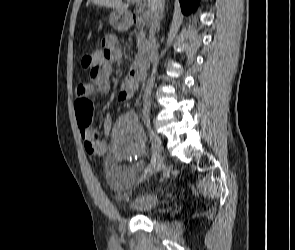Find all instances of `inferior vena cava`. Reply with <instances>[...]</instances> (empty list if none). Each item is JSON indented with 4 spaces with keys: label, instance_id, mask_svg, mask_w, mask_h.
Returning a JSON list of instances; mask_svg holds the SVG:
<instances>
[{
    "label": "inferior vena cava",
    "instance_id": "obj_1",
    "mask_svg": "<svg viewBox=\"0 0 295 250\" xmlns=\"http://www.w3.org/2000/svg\"><path fill=\"white\" fill-rule=\"evenodd\" d=\"M164 12V0H154V8H153V18L149 31V41H148V53L149 60L153 64V71L151 77L146 82L144 88L143 95V113L144 115H148L150 111V97L154 84L155 71L158 63V53H157V44L155 38V32L157 27L159 26L160 19L163 17Z\"/></svg>",
    "mask_w": 295,
    "mask_h": 250
}]
</instances>
